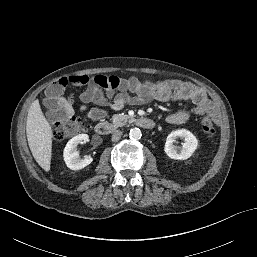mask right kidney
<instances>
[{"mask_svg": "<svg viewBox=\"0 0 257 257\" xmlns=\"http://www.w3.org/2000/svg\"><path fill=\"white\" fill-rule=\"evenodd\" d=\"M88 141L89 137L87 134H79L68 141L63 152L64 161L68 168L72 170H80L93 161L91 156L81 158L77 150L79 144L86 143Z\"/></svg>", "mask_w": 257, "mask_h": 257, "instance_id": "1", "label": "right kidney"}]
</instances>
